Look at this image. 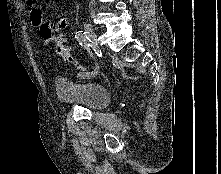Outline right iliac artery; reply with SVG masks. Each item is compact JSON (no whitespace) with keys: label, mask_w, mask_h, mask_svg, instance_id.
Segmentation results:
<instances>
[{"label":"right iliac artery","mask_w":221,"mask_h":174,"mask_svg":"<svg viewBox=\"0 0 221 174\" xmlns=\"http://www.w3.org/2000/svg\"><path fill=\"white\" fill-rule=\"evenodd\" d=\"M75 38L84 49L88 50L89 47L91 46V40L86 35L85 32H83V31L76 32ZM99 70H100V68H99L98 64L96 63L95 67L91 71H82L78 74V76L83 79L94 78L98 75Z\"/></svg>","instance_id":"right-iliac-artery-1"}]
</instances>
